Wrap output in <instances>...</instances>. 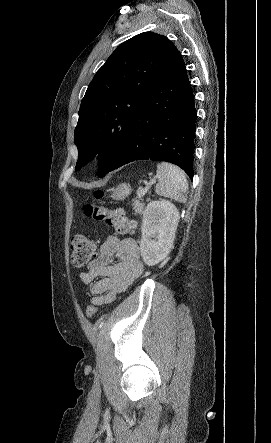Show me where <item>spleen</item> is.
I'll return each instance as SVG.
<instances>
[{"mask_svg": "<svg viewBox=\"0 0 271 443\" xmlns=\"http://www.w3.org/2000/svg\"><path fill=\"white\" fill-rule=\"evenodd\" d=\"M156 178L159 180L155 188L158 196L171 198V200L185 204L187 200L186 192L188 190V182L184 172H182L180 168L172 166V164H166V162H161V164H157Z\"/></svg>", "mask_w": 271, "mask_h": 443, "instance_id": "3e777b00", "label": "spleen"}]
</instances>
